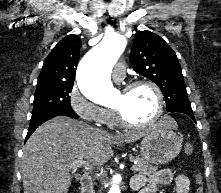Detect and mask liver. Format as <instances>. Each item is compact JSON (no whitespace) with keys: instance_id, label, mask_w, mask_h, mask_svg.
<instances>
[{"instance_id":"obj_1","label":"liver","mask_w":221,"mask_h":193,"mask_svg":"<svg viewBox=\"0 0 221 193\" xmlns=\"http://www.w3.org/2000/svg\"><path fill=\"white\" fill-rule=\"evenodd\" d=\"M160 122L177 128L172 118L163 117ZM149 130L112 135L65 116L48 120L23 149L24 193H67L72 179L69 166L74 161L102 165L113 156L112 145L134 142Z\"/></svg>"}]
</instances>
